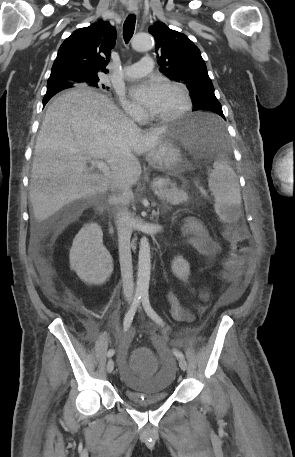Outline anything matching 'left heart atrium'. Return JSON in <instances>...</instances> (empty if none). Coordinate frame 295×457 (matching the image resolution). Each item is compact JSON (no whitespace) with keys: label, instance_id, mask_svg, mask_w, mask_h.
<instances>
[{"label":"left heart atrium","instance_id":"1","mask_svg":"<svg viewBox=\"0 0 295 457\" xmlns=\"http://www.w3.org/2000/svg\"><path fill=\"white\" fill-rule=\"evenodd\" d=\"M160 93V85L153 81L135 85L131 89V96L148 109L154 107Z\"/></svg>","mask_w":295,"mask_h":457}]
</instances>
